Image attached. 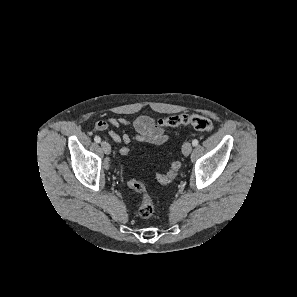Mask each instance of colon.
Returning <instances> with one entry per match:
<instances>
[{
    "instance_id": "1",
    "label": "colon",
    "mask_w": 297,
    "mask_h": 297,
    "mask_svg": "<svg viewBox=\"0 0 297 297\" xmlns=\"http://www.w3.org/2000/svg\"><path fill=\"white\" fill-rule=\"evenodd\" d=\"M159 125L163 128H177V127H192L195 130L203 133H209L213 130L212 121L202 115L199 114H181V115H172L164 119H160L158 121ZM129 152V148L126 146H122L119 149V154L122 156H126ZM181 167L179 161H173L170 166V170L166 175L157 174L156 179L161 184L170 183L177 175ZM128 186L139 193L142 196V201L139 207V215L142 218H149L154 213V205L151 197L148 195L146 191L145 185L135 179L128 181Z\"/></svg>"
}]
</instances>
